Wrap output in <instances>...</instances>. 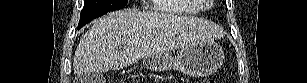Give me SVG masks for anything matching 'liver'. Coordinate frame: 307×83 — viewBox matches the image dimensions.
Segmentation results:
<instances>
[{
    "mask_svg": "<svg viewBox=\"0 0 307 83\" xmlns=\"http://www.w3.org/2000/svg\"><path fill=\"white\" fill-rule=\"evenodd\" d=\"M221 34L218 26L199 18L127 10L111 12L96 20L81 37L74 56V74L121 69L142 57L213 41Z\"/></svg>",
    "mask_w": 307,
    "mask_h": 83,
    "instance_id": "obj_1",
    "label": "liver"
}]
</instances>
